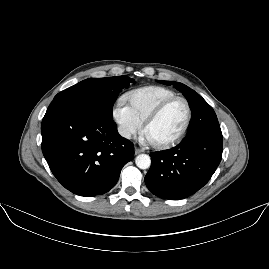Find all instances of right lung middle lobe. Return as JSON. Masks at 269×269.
<instances>
[{"mask_svg": "<svg viewBox=\"0 0 269 269\" xmlns=\"http://www.w3.org/2000/svg\"><path fill=\"white\" fill-rule=\"evenodd\" d=\"M132 82L134 79L128 76L89 78L58 93L52 103L83 106L112 119L116 97Z\"/></svg>", "mask_w": 269, "mask_h": 269, "instance_id": "dd1d6c3e", "label": "right lung middle lobe"}]
</instances>
